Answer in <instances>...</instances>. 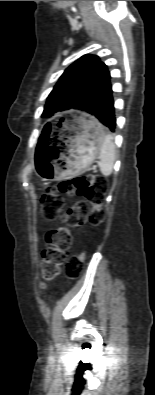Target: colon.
Instances as JSON below:
<instances>
[{
  "mask_svg": "<svg viewBox=\"0 0 155 395\" xmlns=\"http://www.w3.org/2000/svg\"><path fill=\"white\" fill-rule=\"evenodd\" d=\"M108 190V181L98 175H80L62 181L57 188L48 189L41 196V212L46 220L60 219L62 226L46 234L48 247L42 252L41 271L46 281L53 280L65 263L66 252L71 247L72 232L87 221L94 226L104 220L102 205ZM81 196L78 201L64 209V196ZM84 255H76L65 263L68 278L76 279L82 273Z\"/></svg>",
  "mask_w": 155,
  "mask_h": 395,
  "instance_id": "1",
  "label": "colon"
}]
</instances>
